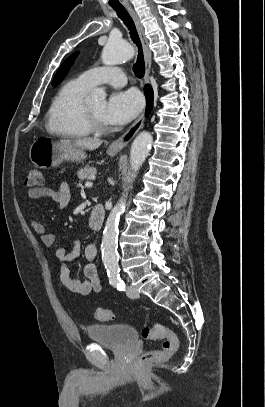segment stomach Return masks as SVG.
Masks as SVG:
<instances>
[{
	"mask_svg": "<svg viewBox=\"0 0 265 407\" xmlns=\"http://www.w3.org/2000/svg\"><path fill=\"white\" fill-rule=\"evenodd\" d=\"M108 155L114 156L116 151L108 150ZM86 157L82 148L62 145L49 139H37L29 150L31 162L39 168L57 167L63 161H81Z\"/></svg>",
	"mask_w": 265,
	"mask_h": 407,
	"instance_id": "1",
	"label": "stomach"
}]
</instances>
